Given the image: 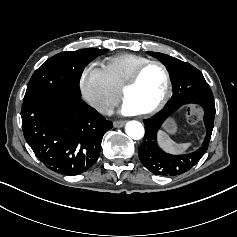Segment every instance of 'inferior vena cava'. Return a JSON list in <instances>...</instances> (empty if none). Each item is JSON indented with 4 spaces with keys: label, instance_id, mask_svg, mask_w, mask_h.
Returning a JSON list of instances; mask_svg holds the SVG:
<instances>
[{
    "label": "inferior vena cava",
    "instance_id": "obj_1",
    "mask_svg": "<svg viewBox=\"0 0 237 237\" xmlns=\"http://www.w3.org/2000/svg\"><path fill=\"white\" fill-rule=\"evenodd\" d=\"M92 106L101 113H104L108 108H112V105L107 101H95Z\"/></svg>",
    "mask_w": 237,
    "mask_h": 237
}]
</instances>
